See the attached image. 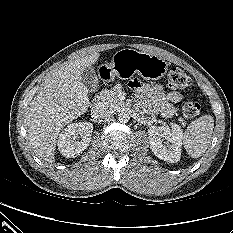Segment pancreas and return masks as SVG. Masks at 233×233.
<instances>
[{
    "label": "pancreas",
    "instance_id": "obj_1",
    "mask_svg": "<svg viewBox=\"0 0 233 233\" xmlns=\"http://www.w3.org/2000/svg\"><path fill=\"white\" fill-rule=\"evenodd\" d=\"M122 91V86L120 84L113 87L110 90H104L102 92L103 101L111 107H118L123 104V101L118 97L119 93ZM179 122L185 126L186 122L184 119L179 118Z\"/></svg>",
    "mask_w": 233,
    "mask_h": 233
}]
</instances>
